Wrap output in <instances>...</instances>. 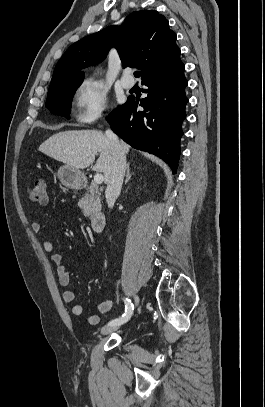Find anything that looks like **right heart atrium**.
<instances>
[{
	"label": "right heart atrium",
	"mask_w": 265,
	"mask_h": 407,
	"mask_svg": "<svg viewBox=\"0 0 265 407\" xmlns=\"http://www.w3.org/2000/svg\"><path fill=\"white\" fill-rule=\"evenodd\" d=\"M76 121L91 125L102 120L108 112V97L104 87L95 81L85 80L74 94Z\"/></svg>",
	"instance_id": "obj_1"
}]
</instances>
